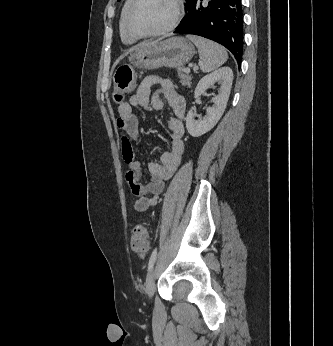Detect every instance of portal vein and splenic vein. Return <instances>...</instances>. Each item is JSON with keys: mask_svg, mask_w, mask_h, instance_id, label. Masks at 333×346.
I'll use <instances>...</instances> for the list:
<instances>
[{"mask_svg": "<svg viewBox=\"0 0 333 346\" xmlns=\"http://www.w3.org/2000/svg\"><path fill=\"white\" fill-rule=\"evenodd\" d=\"M184 72H185L186 74H189V73H190V69H189V68H185V69H184Z\"/></svg>", "mask_w": 333, "mask_h": 346, "instance_id": "portal-vein-and-splenic-vein-1", "label": "portal vein and splenic vein"}]
</instances>
